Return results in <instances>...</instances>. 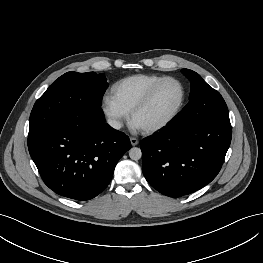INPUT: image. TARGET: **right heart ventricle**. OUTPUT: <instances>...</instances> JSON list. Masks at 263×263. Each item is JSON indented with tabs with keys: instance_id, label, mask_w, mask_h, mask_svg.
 I'll return each mask as SVG.
<instances>
[{
	"instance_id": "obj_1",
	"label": "right heart ventricle",
	"mask_w": 263,
	"mask_h": 263,
	"mask_svg": "<svg viewBox=\"0 0 263 263\" xmlns=\"http://www.w3.org/2000/svg\"><path fill=\"white\" fill-rule=\"evenodd\" d=\"M163 77L157 74H137L122 78L112 85L110 95L128 113Z\"/></svg>"
}]
</instances>
